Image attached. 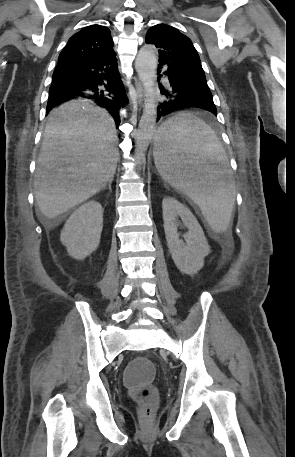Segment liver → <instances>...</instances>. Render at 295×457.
I'll use <instances>...</instances> for the list:
<instances>
[{
	"mask_svg": "<svg viewBox=\"0 0 295 457\" xmlns=\"http://www.w3.org/2000/svg\"><path fill=\"white\" fill-rule=\"evenodd\" d=\"M114 121L88 100L54 109L45 127L34 178L42 214L55 219L113 179L118 160Z\"/></svg>",
	"mask_w": 295,
	"mask_h": 457,
	"instance_id": "1",
	"label": "liver"
}]
</instances>
